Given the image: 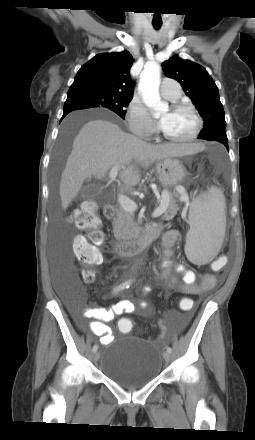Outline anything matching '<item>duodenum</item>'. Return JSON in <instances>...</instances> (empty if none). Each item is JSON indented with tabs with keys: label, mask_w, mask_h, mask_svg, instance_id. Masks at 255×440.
<instances>
[{
	"label": "duodenum",
	"mask_w": 255,
	"mask_h": 440,
	"mask_svg": "<svg viewBox=\"0 0 255 440\" xmlns=\"http://www.w3.org/2000/svg\"><path fill=\"white\" fill-rule=\"evenodd\" d=\"M103 212L106 218L111 219L115 215V206L106 203ZM161 231L160 226H147L132 240H118L115 244V250L119 256L123 257L139 254L159 237Z\"/></svg>",
	"instance_id": "obj_1"
}]
</instances>
